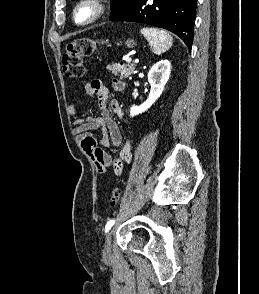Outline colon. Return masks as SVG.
<instances>
[{"instance_id":"1","label":"colon","mask_w":259,"mask_h":294,"mask_svg":"<svg viewBox=\"0 0 259 294\" xmlns=\"http://www.w3.org/2000/svg\"><path fill=\"white\" fill-rule=\"evenodd\" d=\"M100 45V41L83 37L70 41L65 46L62 57V66L65 75L69 78H81L85 73L83 58L93 55ZM122 188L115 187L111 195V205L116 206L122 197Z\"/></svg>"}]
</instances>
